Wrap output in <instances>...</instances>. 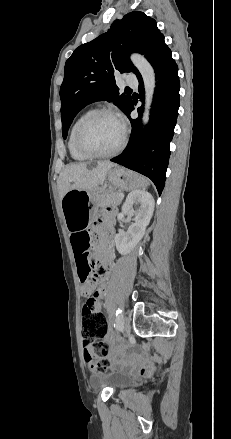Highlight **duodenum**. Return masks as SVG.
Returning a JSON list of instances; mask_svg holds the SVG:
<instances>
[{
  "instance_id": "duodenum-1",
  "label": "duodenum",
  "mask_w": 231,
  "mask_h": 439,
  "mask_svg": "<svg viewBox=\"0 0 231 439\" xmlns=\"http://www.w3.org/2000/svg\"><path fill=\"white\" fill-rule=\"evenodd\" d=\"M108 266H109V264H108V265H103V266H102L103 271L106 270V269L108 268Z\"/></svg>"
}]
</instances>
